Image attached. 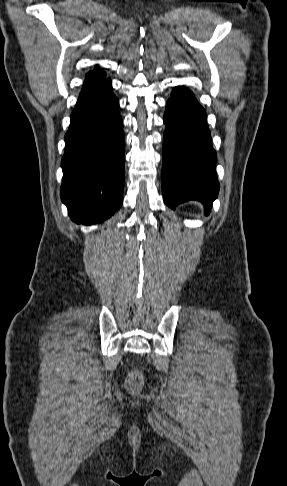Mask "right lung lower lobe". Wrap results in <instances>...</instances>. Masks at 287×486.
<instances>
[{
    "mask_svg": "<svg viewBox=\"0 0 287 486\" xmlns=\"http://www.w3.org/2000/svg\"><path fill=\"white\" fill-rule=\"evenodd\" d=\"M118 107L112 82L104 78L84 86L71 114L60 194L76 223L102 222L122 205L125 150Z\"/></svg>",
    "mask_w": 287,
    "mask_h": 486,
    "instance_id": "1",
    "label": "right lung lower lobe"
}]
</instances>
